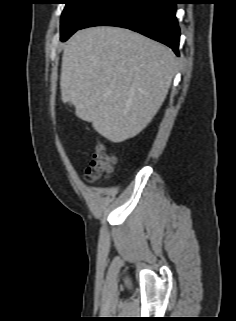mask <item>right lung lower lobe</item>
<instances>
[{"instance_id":"1","label":"right lung lower lobe","mask_w":236,"mask_h":321,"mask_svg":"<svg viewBox=\"0 0 236 321\" xmlns=\"http://www.w3.org/2000/svg\"><path fill=\"white\" fill-rule=\"evenodd\" d=\"M175 0H108L79 29L117 26L159 41L179 55L180 29Z\"/></svg>"}]
</instances>
